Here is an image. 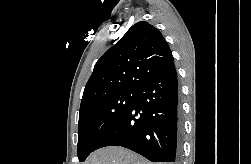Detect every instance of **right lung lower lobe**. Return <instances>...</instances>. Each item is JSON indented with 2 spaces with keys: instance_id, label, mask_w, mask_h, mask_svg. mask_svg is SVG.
Here are the masks:
<instances>
[{
  "instance_id": "right-lung-lower-lobe-1",
  "label": "right lung lower lobe",
  "mask_w": 251,
  "mask_h": 164,
  "mask_svg": "<svg viewBox=\"0 0 251 164\" xmlns=\"http://www.w3.org/2000/svg\"><path fill=\"white\" fill-rule=\"evenodd\" d=\"M131 108L98 142L128 148L152 162H177L181 152L182 121L174 63L144 81Z\"/></svg>"
}]
</instances>
